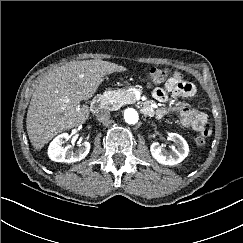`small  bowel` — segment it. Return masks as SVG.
Here are the masks:
<instances>
[{
	"instance_id": "c3829d8e",
	"label": "small bowel",
	"mask_w": 243,
	"mask_h": 243,
	"mask_svg": "<svg viewBox=\"0 0 243 243\" xmlns=\"http://www.w3.org/2000/svg\"><path fill=\"white\" fill-rule=\"evenodd\" d=\"M196 93V87L192 83L186 81L181 73L175 72L163 86L156 87L152 91V96L159 102H165L170 97H194ZM170 111H175L179 114L181 123L184 127L199 132L204 137L211 135L212 130L207 123L206 116L190 106L184 105L174 109L161 107L156 110L155 114L157 118L161 119Z\"/></svg>"
}]
</instances>
